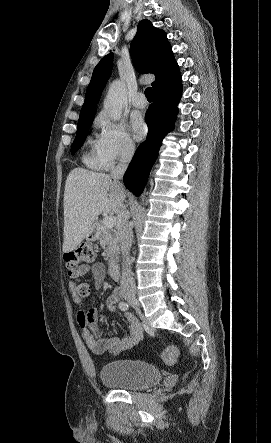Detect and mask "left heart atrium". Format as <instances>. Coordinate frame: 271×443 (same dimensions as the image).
<instances>
[{"instance_id":"1","label":"left heart atrium","mask_w":271,"mask_h":443,"mask_svg":"<svg viewBox=\"0 0 271 443\" xmlns=\"http://www.w3.org/2000/svg\"><path fill=\"white\" fill-rule=\"evenodd\" d=\"M130 123L136 140H142L147 134V125L139 113L131 115Z\"/></svg>"}]
</instances>
